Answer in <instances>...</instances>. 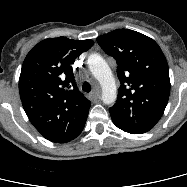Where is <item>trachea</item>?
I'll return each instance as SVG.
<instances>
[{"mask_svg": "<svg viewBox=\"0 0 187 187\" xmlns=\"http://www.w3.org/2000/svg\"><path fill=\"white\" fill-rule=\"evenodd\" d=\"M82 90L85 92H90L91 91V85L88 82H85L82 86Z\"/></svg>", "mask_w": 187, "mask_h": 187, "instance_id": "1", "label": "trachea"}]
</instances>
